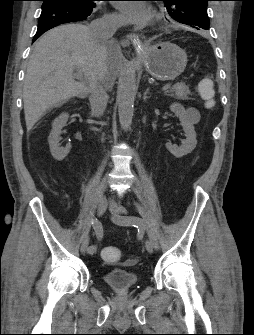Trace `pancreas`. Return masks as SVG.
<instances>
[{"label": "pancreas", "mask_w": 254, "mask_h": 335, "mask_svg": "<svg viewBox=\"0 0 254 335\" xmlns=\"http://www.w3.org/2000/svg\"><path fill=\"white\" fill-rule=\"evenodd\" d=\"M191 94L189 86L184 82H179L173 85L169 90V95L181 100H188Z\"/></svg>", "instance_id": "obj_1"}]
</instances>
